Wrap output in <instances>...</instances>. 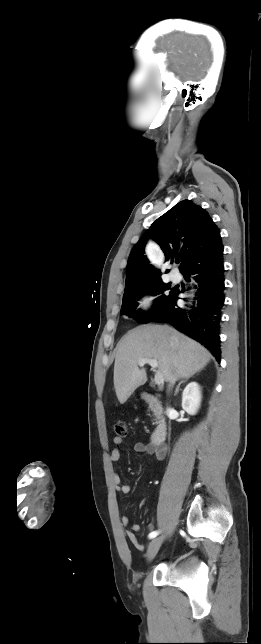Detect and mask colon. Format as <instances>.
<instances>
[{"mask_svg": "<svg viewBox=\"0 0 261 644\" xmlns=\"http://www.w3.org/2000/svg\"><path fill=\"white\" fill-rule=\"evenodd\" d=\"M114 431L117 437L125 438L128 435L127 424L124 421H117L114 426Z\"/></svg>", "mask_w": 261, "mask_h": 644, "instance_id": "1", "label": "colon"}]
</instances>
